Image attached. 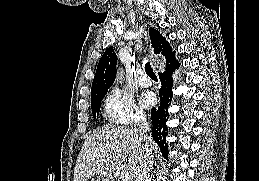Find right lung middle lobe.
Here are the masks:
<instances>
[{"instance_id":"dd1d6c3e","label":"right lung middle lobe","mask_w":259,"mask_h":181,"mask_svg":"<svg viewBox=\"0 0 259 181\" xmlns=\"http://www.w3.org/2000/svg\"><path fill=\"white\" fill-rule=\"evenodd\" d=\"M106 93L100 94L98 96H95L91 98V109L93 113V117L95 118L96 113L99 114L101 101Z\"/></svg>"}]
</instances>
